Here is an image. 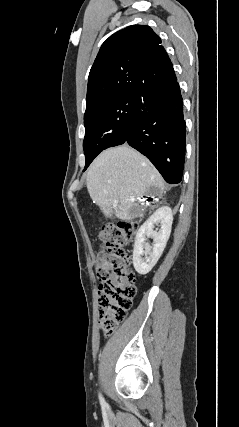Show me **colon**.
I'll return each mask as SVG.
<instances>
[{"mask_svg": "<svg viewBox=\"0 0 239 427\" xmlns=\"http://www.w3.org/2000/svg\"><path fill=\"white\" fill-rule=\"evenodd\" d=\"M137 225L134 222L108 223L99 233L102 249L98 254L96 276L99 325L105 335L112 334L126 318L136 296V277L131 255L126 248Z\"/></svg>", "mask_w": 239, "mask_h": 427, "instance_id": "1", "label": "colon"}]
</instances>
